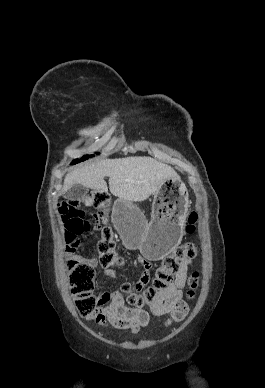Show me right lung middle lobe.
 <instances>
[{"mask_svg": "<svg viewBox=\"0 0 265 388\" xmlns=\"http://www.w3.org/2000/svg\"><path fill=\"white\" fill-rule=\"evenodd\" d=\"M92 156H94V155H86V156H83L80 160H74V161L72 162V164H76V163H78V162H80V161H84V160H86V159H88V158H90V157H92Z\"/></svg>", "mask_w": 265, "mask_h": 388, "instance_id": "1", "label": "right lung middle lobe"}]
</instances>
